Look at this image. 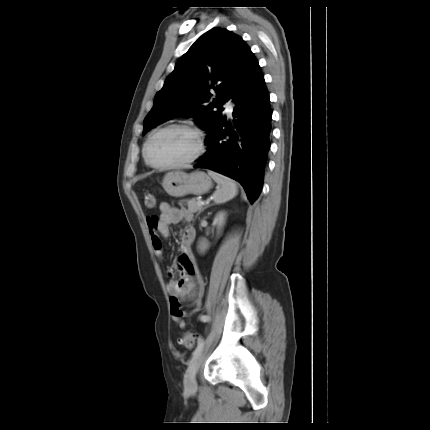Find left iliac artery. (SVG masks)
Segmentation results:
<instances>
[{"label": "left iliac artery", "instance_id": "44dca946", "mask_svg": "<svg viewBox=\"0 0 430 430\" xmlns=\"http://www.w3.org/2000/svg\"><path fill=\"white\" fill-rule=\"evenodd\" d=\"M201 320L206 322V321L210 320V317L204 315L201 317ZM203 346H204V340H203V338H200L198 341V345H197L196 349L192 353V356L195 357L202 350Z\"/></svg>", "mask_w": 430, "mask_h": 430}]
</instances>
